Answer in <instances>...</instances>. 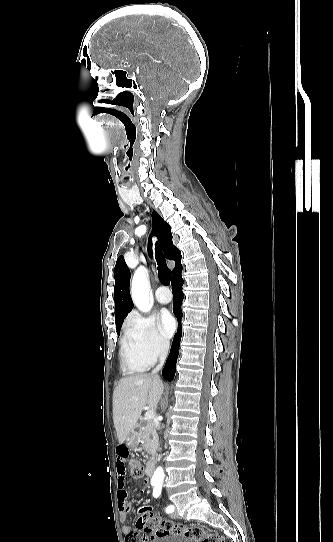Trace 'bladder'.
<instances>
[{
	"label": "bladder",
	"mask_w": 333,
	"mask_h": 542,
	"mask_svg": "<svg viewBox=\"0 0 333 542\" xmlns=\"http://www.w3.org/2000/svg\"><path fill=\"white\" fill-rule=\"evenodd\" d=\"M146 542H197V540L189 538L187 535L165 534L150 538Z\"/></svg>",
	"instance_id": "1"
}]
</instances>
